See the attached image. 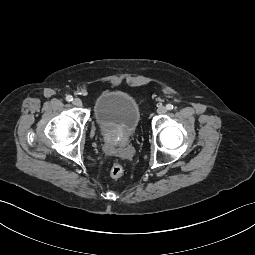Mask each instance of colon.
Returning a JSON list of instances; mask_svg holds the SVG:
<instances>
[{
	"label": "colon",
	"mask_w": 255,
	"mask_h": 255,
	"mask_svg": "<svg viewBox=\"0 0 255 255\" xmlns=\"http://www.w3.org/2000/svg\"><path fill=\"white\" fill-rule=\"evenodd\" d=\"M124 173V168L121 163L114 162L109 169V175L113 179L120 178Z\"/></svg>",
	"instance_id": "colon-1"
}]
</instances>
